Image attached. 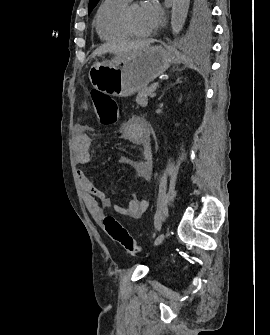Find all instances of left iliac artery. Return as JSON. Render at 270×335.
Masks as SVG:
<instances>
[{
    "instance_id": "obj_1",
    "label": "left iliac artery",
    "mask_w": 270,
    "mask_h": 335,
    "mask_svg": "<svg viewBox=\"0 0 270 335\" xmlns=\"http://www.w3.org/2000/svg\"><path fill=\"white\" fill-rule=\"evenodd\" d=\"M154 225H155V228L158 231L161 230L162 222H161V219L159 217L155 218Z\"/></svg>"
}]
</instances>
